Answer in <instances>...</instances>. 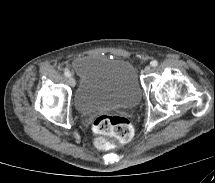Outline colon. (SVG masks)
Returning <instances> with one entry per match:
<instances>
[{
	"label": "colon",
	"mask_w": 215,
	"mask_h": 183,
	"mask_svg": "<svg viewBox=\"0 0 215 183\" xmlns=\"http://www.w3.org/2000/svg\"><path fill=\"white\" fill-rule=\"evenodd\" d=\"M93 131L97 135L94 140L95 146L101 150L110 147L106 138L108 136L115 137L121 142H128L133 135L132 126L126 118L110 114H103L95 118Z\"/></svg>",
	"instance_id": "colon-1"
}]
</instances>
